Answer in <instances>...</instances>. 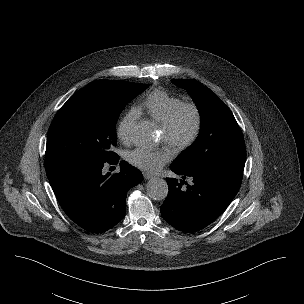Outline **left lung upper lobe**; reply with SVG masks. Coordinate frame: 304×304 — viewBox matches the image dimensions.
Wrapping results in <instances>:
<instances>
[{"label": "left lung upper lobe", "mask_w": 304, "mask_h": 304, "mask_svg": "<svg viewBox=\"0 0 304 304\" xmlns=\"http://www.w3.org/2000/svg\"><path fill=\"white\" fill-rule=\"evenodd\" d=\"M172 82L192 96L201 115L200 134L173 162L182 170L234 169L243 171L246 148L230 109L206 86L193 79Z\"/></svg>", "instance_id": "left-lung-upper-lobe-1"}]
</instances>
